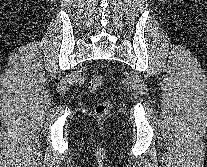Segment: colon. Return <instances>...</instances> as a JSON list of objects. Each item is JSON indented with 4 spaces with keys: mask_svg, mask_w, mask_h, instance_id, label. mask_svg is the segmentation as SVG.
<instances>
[{
    "mask_svg": "<svg viewBox=\"0 0 207 167\" xmlns=\"http://www.w3.org/2000/svg\"><path fill=\"white\" fill-rule=\"evenodd\" d=\"M106 80V76H94L88 82V88L91 92L95 93L100 90L103 83ZM112 108V103L109 100L99 102L95 106V113L98 116H105L107 115Z\"/></svg>",
    "mask_w": 207,
    "mask_h": 167,
    "instance_id": "obj_1",
    "label": "colon"
}]
</instances>
